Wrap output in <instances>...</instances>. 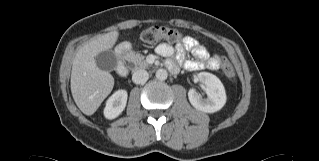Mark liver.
Instances as JSON below:
<instances>
[{"mask_svg": "<svg viewBox=\"0 0 319 161\" xmlns=\"http://www.w3.org/2000/svg\"><path fill=\"white\" fill-rule=\"evenodd\" d=\"M118 36L117 31L97 36L81 47L73 59L71 92L76 105L86 115H92L113 89V76L97 67L95 56L111 49Z\"/></svg>", "mask_w": 319, "mask_h": 161, "instance_id": "liver-1", "label": "liver"}]
</instances>
